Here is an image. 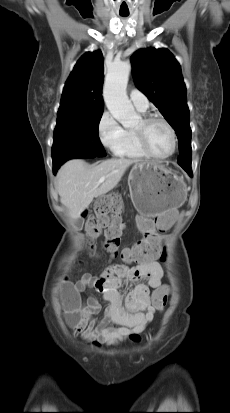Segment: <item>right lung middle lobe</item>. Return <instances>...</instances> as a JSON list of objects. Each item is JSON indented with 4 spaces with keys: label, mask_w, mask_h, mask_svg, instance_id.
Here are the masks:
<instances>
[{
    "label": "right lung middle lobe",
    "mask_w": 230,
    "mask_h": 413,
    "mask_svg": "<svg viewBox=\"0 0 230 413\" xmlns=\"http://www.w3.org/2000/svg\"><path fill=\"white\" fill-rule=\"evenodd\" d=\"M102 114L91 117L57 118L52 146L53 164H63L72 158L106 156L98 136Z\"/></svg>",
    "instance_id": "dd1d6c3e"
}]
</instances>
